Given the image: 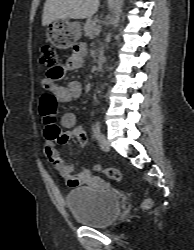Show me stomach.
Listing matches in <instances>:
<instances>
[{
	"label": "stomach",
	"mask_w": 194,
	"mask_h": 250,
	"mask_svg": "<svg viewBox=\"0 0 194 250\" xmlns=\"http://www.w3.org/2000/svg\"><path fill=\"white\" fill-rule=\"evenodd\" d=\"M49 41L59 49L72 47L81 37V25L69 19L55 20L47 25Z\"/></svg>",
	"instance_id": "1"
}]
</instances>
